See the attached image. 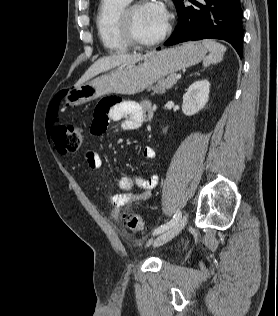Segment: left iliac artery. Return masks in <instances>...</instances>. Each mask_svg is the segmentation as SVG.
I'll use <instances>...</instances> for the list:
<instances>
[{"label":"left iliac artery","mask_w":278,"mask_h":316,"mask_svg":"<svg viewBox=\"0 0 278 316\" xmlns=\"http://www.w3.org/2000/svg\"><path fill=\"white\" fill-rule=\"evenodd\" d=\"M181 218V212L178 210L173 218L165 223V224H162L161 226H159L158 228H156L153 232V235H158L160 233H163L164 231L168 230L169 228H171L173 225H175Z\"/></svg>","instance_id":"left-iliac-artery-1"}]
</instances>
